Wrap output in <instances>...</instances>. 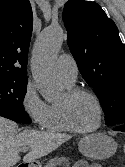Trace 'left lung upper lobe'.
<instances>
[{
  "instance_id": "obj_1",
  "label": "left lung upper lobe",
  "mask_w": 125,
  "mask_h": 167,
  "mask_svg": "<svg viewBox=\"0 0 125 167\" xmlns=\"http://www.w3.org/2000/svg\"><path fill=\"white\" fill-rule=\"evenodd\" d=\"M68 46L85 81L103 105L105 123L125 124V44L100 5L69 0L63 9Z\"/></svg>"
}]
</instances>
